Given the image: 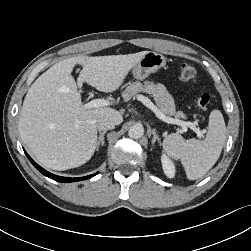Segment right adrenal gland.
<instances>
[{
	"instance_id": "obj_1",
	"label": "right adrenal gland",
	"mask_w": 251,
	"mask_h": 251,
	"mask_svg": "<svg viewBox=\"0 0 251 251\" xmlns=\"http://www.w3.org/2000/svg\"><path fill=\"white\" fill-rule=\"evenodd\" d=\"M106 134V131L100 133L98 141H97V147L96 150L99 151L100 146L104 145V135Z\"/></svg>"
}]
</instances>
